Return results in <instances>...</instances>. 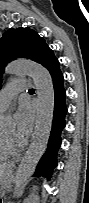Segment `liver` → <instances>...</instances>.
<instances>
[{"instance_id":"1","label":"liver","mask_w":89,"mask_h":203,"mask_svg":"<svg viewBox=\"0 0 89 203\" xmlns=\"http://www.w3.org/2000/svg\"><path fill=\"white\" fill-rule=\"evenodd\" d=\"M9 165L7 163H2L0 164V178H1V182L3 180V177H4V174H5V171L7 169Z\"/></svg>"}]
</instances>
